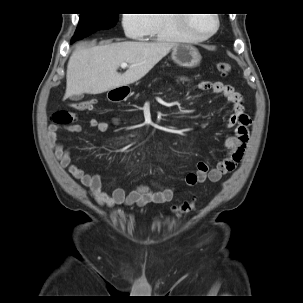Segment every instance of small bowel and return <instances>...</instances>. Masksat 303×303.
Listing matches in <instances>:
<instances>
[{"label":"small bowel","instance_id":"small-bowel-1","mask_svg":"<svg viewBox=\"0 0 303 303\" xmlns=\"http://www.w3.org/2000/svg\"><path fill=\"white\" fill-rule=\"evenodd\" d=\"M177 82H188L190 79L186 76H178ZM200 90H211L215 94L224 96L231 104L233 113L228 119L226 126L234 129L233 135L225 140V148L228 151L226 158L220 161L215 167L210 168L205 161H199L197 170L187 175L186 186L193 187L197 183L206 180L216 183L221 178L233 171L241 161L246 150L249 139V128L251 118L244 113L242 94L236 91L232 86L215 81L211 84L207 82L197 83ZM89 125L101 133L109 130V124L95 118L89 120ZM72 132H81L82 127L79 124H72L66 127ZM58 127L50 126L48 128L49 146L60 165L66 169L74 178L83 186L88 188L93 199L100 205L107 207L137 205L144 207L148 204H164L170 202L179 192L177 186H158L156 191H152L147 185H140L136 189L126 193L125 190L118 186L111 193L103 189L102 182L98 176L90 175L83 169L79 168L71 161L70 150L56 139Z\"/></svg>","mask_w":303,"mask_h":303}]
</instances>
